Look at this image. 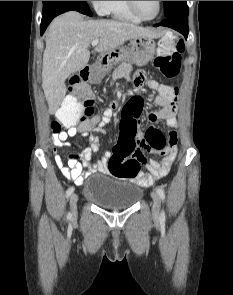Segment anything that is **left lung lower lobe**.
<instances>
[{
	"label": "left lung lower lobe",
	"mask_w": 233,
	"mask_h": 295,
	"mask_svg": "<svg viewBox=\"0 0 233 295\" xmlns=\"http://www.w3.org/2000/svg\"><path fill=\"white\" fill-rule=\"evenodd\" d=\"M165 26L173 28L180 33H182L187 39L188 37V9L182 11L181 13L172 15L170 17H167L164 21H162L159 24H156L154 26Z\"/></svg>",
	"instance_id": "obj_1"
}]
</instances>
